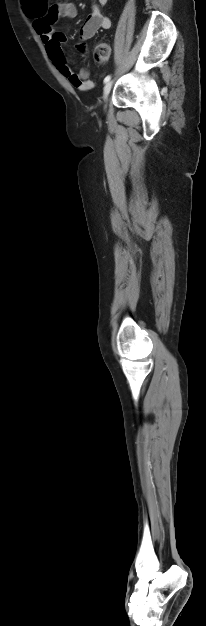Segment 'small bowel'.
I'll use <instances>...</instances> for the list:
<instances>
[{"label": "small bowel", "instance_id": "c3829d8e", "mask_svg": "<svg viewBox=\"0 0 206 626\" xmlns=\"http://www.w3.org/2000/svg\"><path fill=\"white\" fill-rule=\"evenodd\" d=\"M108 0H97L91 6V12L80 29V41L77 48L80 52L85 51L84 42L92 38L99 30L111 27L109 17L103 15L100 7L106 5ZM27 15L33 19V27L45 45L46 52L60 74L66 78L72 86L80 91H89L95 87V82L89 79V72L82 68L74 72L65 59L62 46L66 36L61 31H55L52 24L59 19H73L77 15V9L73 3L62 2L48 4L47 0H34L24 4Z\"/></svg>", "mask_w": 206, "mask_h": 626}]
</instances>
